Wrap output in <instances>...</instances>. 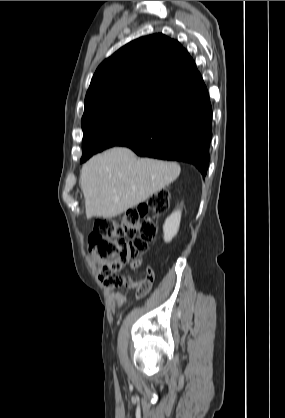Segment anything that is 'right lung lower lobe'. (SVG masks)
Wrapping results in <instances>:
<instances>
[{
	"label": "right lung lower lobe",
	"mask_w": 285,
	"mask_h": 418,
	"mask_svg": "<svg viewBox=\"0 0 285 418\" xmlns=\"http://www.w3.org/2000/svg\"><path fill=\"white\" fill-rule=\"evenodd\" d=\"M211 138L212 106L204 86L169 106L155 122L118 146L143 157L190 163L206 175Z\"/></svg>",
	"instance_id": "1"
}]
</instances>
